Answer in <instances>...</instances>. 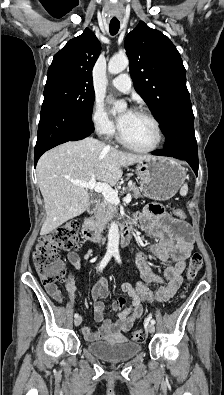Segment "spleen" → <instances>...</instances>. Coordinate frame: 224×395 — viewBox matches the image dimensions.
I'll use <instances>...</instances> for the list:
<instances>
[{
  "mask_svg": "<svg viewBox=\"0 0 224 395\" xmlns=\"http://www.w3.org/2000/svg\"><path fill=\"white\" fill-rule=\"evenodd\" d=\"M188 193V185L184 184L181 189H180V195L181 196H186Z\"/></svg>",
  "mask_w": 224,
  "mask_h": 395,
  "instance_id": "3e777b00",
  "label": "spleen"
}]
</instances>
